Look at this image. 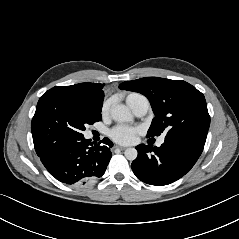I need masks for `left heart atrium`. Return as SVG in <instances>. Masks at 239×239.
<instances>
[{"label":"left heart atrium","instance_id":"1","mask_svg":"<svg viewBox=\"0 0 239 239\" xmlns=\"http://www.w3.org/2000/svg\"><path fill=\"white\" fill-rule=\"evenodd\" d=\"M138 129L132 126L119 124L110 131V137L117 143L129 144L134 141Z\"/></svg>","mask_w":239,"mask_h":239}]
</instances>
